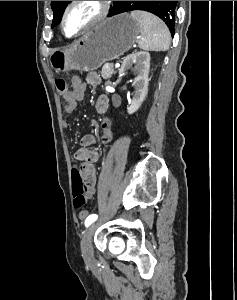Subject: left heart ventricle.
Returning <instances> with one entry per match:
<instances>
[{
	"mask_svg": "<svg viewBox=\"0 0 237 300\" xmlns=\"http://www.w3.org/2000/svg\"><path fill=\"white\" fill-rule=\"evenodd\" d=\"M98 6L95 1H83L75 6L68 15L65 29L68 35L77 33L93 16Z\"/></svg>",
	"mask_w": 237,
	"mask_h": 300,
	"instance_id": "left-heart-ventricle-1",
	"label": "left heart ventricle"
}]
</instances>
